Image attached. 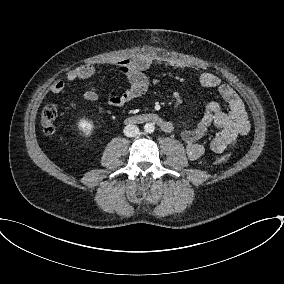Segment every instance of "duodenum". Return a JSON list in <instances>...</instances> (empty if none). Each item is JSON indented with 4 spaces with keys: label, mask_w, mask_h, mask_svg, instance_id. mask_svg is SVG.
Masks as SVG:
<instances>
[{
    "label": "duodenum",
    "mask_w": 284,
    "mask_h": 284,
    "mask_svg": "<svg viewBox=\"0 0 284 284\" xmlns=\"http://www.w3.org/2000/svg\"><path fill=\"white\" fill-rule=\"evenodd\" d=\"M129 123L152 122L157 124L164 132H171L172 124L156 113H146L128 118Z\"/></svg>",
    "instance_id": "410a0bca"
}]
</instances>
